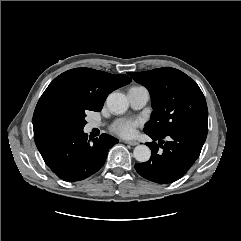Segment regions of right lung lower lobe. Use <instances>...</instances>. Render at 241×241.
I'll use <instances>...</instances> for the list:
<instances>
[{"label":"right lung lower lobe","mask_w":241,"mask_h":241,"mask_svg":"<svg viewBox=\"0 0 241 241\" xmlns=\"http://www.w3.org/2000/svg\"><path fill=\"white\" fill-rule=\"evenodd\" d=\"M36 146L47 166L64 181H80L96 173L108 150L118 143L110 135L88 141L83 129L64 128L34 134Z\"/></svg>","instance_id":"1"}]
</instances>
